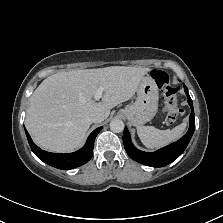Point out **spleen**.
Wrapping results in <instances>:
<instances>
[{
	"mask_svg": "<svg viewBox=\"0 0 223 223\" xmlns=\"http://www.w3.org/2000/svg\"><path fill=\"white\" fill-rule=\"evenodd\" d=\"M186 127V122L165 131L154 127H137V134L143 145L148 149H161L176 141L185 131Z\"/></svg>",
	"mask_w": 223,
	"mask_h": 223,
	"instance_id": "obj_1",
	"label": "spleen"
}]
</instances>
